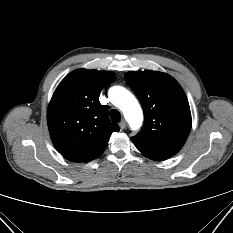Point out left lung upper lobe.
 <instances>
[{
  "label": "left lung upper lobe",
  "instance_id": "1",
  "mask_svg": "<svg viewBox=\"0 0 233 233\" xmlns=\"http://www.w3.org/2000/svg\"><path fill=\"white\" fill-rule=\"evenodd\" d=\"M126 81L141 101L145 123L131 138L136 147L178 152L191 130L187 97L170 75L158 71L128 72Z\"/></svg>",
  "mask_w": 233,
  "mask_h": 233
}]
</instances>
